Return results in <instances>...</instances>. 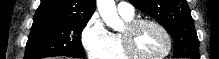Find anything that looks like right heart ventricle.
Segmentation results:
<instances>
[{
	"label": "right heart ventricle",
	"mask_w": 219,
	"mask_h": 59,
	"mask_svg": "<svg viewBox=\"0 0 219 59\" xmlns=\"http://www.w3.org/2000/svg\"><path fill=\"white\" fill-rule=\"evenodd\" d=\"M126 23L134 20V16L121 15ZM104 59H130L123 50L122 41L119 33L111 34L110 47L104 57Z\"/></svg>",
	"instance_id": "right-heart-ventricle-1"
}]
</instances>
